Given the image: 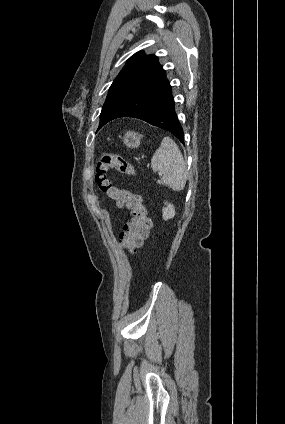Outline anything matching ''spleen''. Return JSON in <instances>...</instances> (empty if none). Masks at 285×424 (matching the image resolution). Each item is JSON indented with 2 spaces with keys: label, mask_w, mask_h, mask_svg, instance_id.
<instances>
[{
  "label": "spleen",
  "mask_w": 285,
  "mask_h": 424,
  "mask_svg": "<svg viewBox=\"0 0 285 424\" xmlns=\"http://www.w3.org/2000/svg\"><path fill=\"white\" fill-rule=\"evenodd\" d=\"M151 167L154 172H159L161 175L159 184L177 191L185 187L187 166L179 147L170 137H165L155 151L151 159Z\"/></svg>",
  "instance_id": "obj_1"
}]
</instances>
